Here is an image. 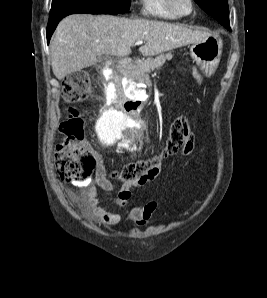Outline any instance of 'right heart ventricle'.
<instances>
[{
  "instance_id": "e07e8e85",
  "label": "right heart ventricle",
  "mask_w": 267,
  "mask_h": 298,
  "mask_svg": "<svg viewBox=\"0 0 267 298\" xmlns=\"http://www.w3.org/2000/svg\"><path fill=\"white\" fill-rule=\"evenodd\" d=\"M140 12L143 16L161 20H175L178 18L166 6L165 0H139Z\"/></svg>"
}]
</instances>
